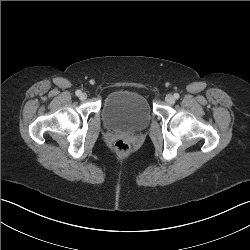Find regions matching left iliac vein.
<instances>
[{"label": "left iliac vein", "instance_id": "left-iliac-vein-1", "mask_svg": "<svg viewBox=\"0 0 250 250\" xmlns=\"http://www.w3.org/2000/svg\"><path fill=\"white\" fill-rule=\"evenodd\" d=\"M165 101L168 103V104H174L175 102V98L172 94H168L166 95L165 97Z\"/></svg>", "mask_w": 250, "mask_h": 250}]
</instances>
